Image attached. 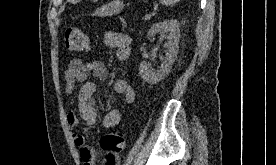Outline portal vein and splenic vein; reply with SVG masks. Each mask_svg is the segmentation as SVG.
Returning <instances> with one entry per match:
<instances>
[{
  "label": "portal vein and splenic vein",
  "mask_w": 276,
  "mask_h": 165,
  "mask_svg": "<svg viewBox=\"0 0 276 165\" xmlns=\"http://www.w3.org/2000/svg\"><path fill=\"white\" fill-rule=\"evenodd\" d=\"M152 17V15L151 14H145V16H144V20H148V19H150Z\"/></svg>",
  "instance_id": "1"
}]
</instances>
